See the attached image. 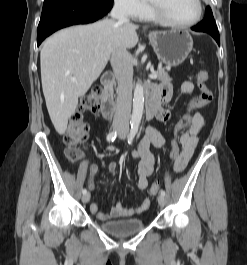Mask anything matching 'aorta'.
<instances>
[{
	"instance_id": "762f6f07",
	"label": "aorta",
	"mask_w": 247,
	"mask_h": 265,
	"mask_svg": "<svg viewBox=\"0 0 247 265\" xmlns=\"http://www.w3.org/2000/svg\"><path fill=\"white\" fill-rule=\"evenodd\" d=\"M144 108V88L141 82H137L134 89L133 110L131 115V124L138 126L140 124Z\"/></svg>"
}]
</instances>
